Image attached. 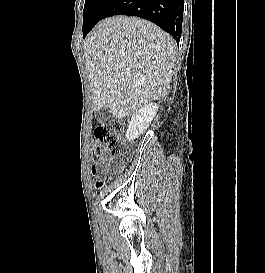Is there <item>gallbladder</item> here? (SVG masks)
<instances>
[{
    "label": "gallbladder",
    "instance_id": "obj_1",
    "mask_svg": "<svg viewBox=\"0 0 265 273\" xmlns=\"http://www.w3.org/2000/svg\"><path fill=\"white\" fill-rule=\"evenodd\" d=\"M95 116L99 122H105L106 120L111 119L113 117L108 111V109H101L95 111Z\"/></svg>",
    "mask_w": 265,
    "mask_h": 273
}]
</instances>
